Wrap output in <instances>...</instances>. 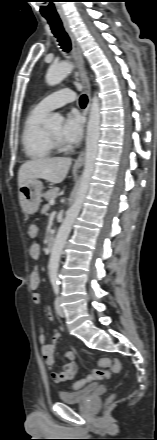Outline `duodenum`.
<instances>
[{"label":"duodenum","mask_w":157,"mask_h":440,"mask_svg":"<svg viewBox=\"0 0 157 440\" xmlns=\"http://www.w3.org/2000/svg\"><path fill=\"white\" fill-rule=\"evenodd\" d=\"M54 243H55V238L50 237L47 242V247L49 250H51L54 247Z\"/></svg>","instance_id":"duodenum-1"}]
</instances>
